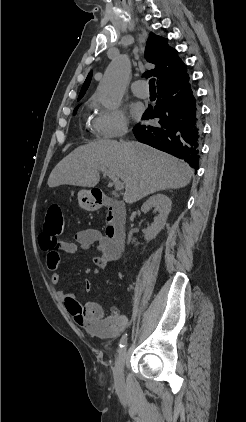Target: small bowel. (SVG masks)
<instances>
[{
	"mask_svg": "<svg viewBox=\"0 0 246 422\" xmlns=\"http://www.w3.org/2000/svg\"><path fill=\"white\" fill-rule=\"evenodd\" d=\"M41 248L46 252V263L53 272L51 282L58 285L61 280L59 266L61 262L60 253H77L81 249L96 247L100 255L92 259L93 264L100 269L120 257V249L117 248L107 235H103L96 229H83L75 233L73 241L58 240L56 236L44 230L39 236ZM92 284L86 281L85 290L90 291ZM58 297L63 302L67 311L74 321L91 334L103 338H114L118 336L128 325L127 317L120 311L113 309L106 314L103 306L97 303L79 304L73 294L58 291Z\"/></svg>",
	"mask_w": 246,
	"mask_h": 422,
	"instance_id": "c3829d8e",
	"label": "small bowel"
}]
</instances>
